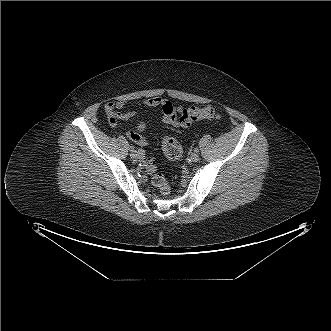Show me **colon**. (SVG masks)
Wrapping results in <instances>:
<instances>
[{
  "mask_svg": "<svg viewBox=\"0 0 331 331\" xmlns=\"http://www.w3.org/2000/svg\"><path fill=\"white\" fill-rule=\"evenodd\" d=\"M221 118V114L215 108L211 106H207L204 108L199 107H188L184 108L181 113V122L185 126H189L195 121L201 119H208V120H219ZM142 130V126L138 128V132ZM162 149L165 156L173 163H180L182 161V147L180 143L171 136H165L162 139ZM144 166L146 171L152 177V183L156 186L160 193L163 196H168L170 194V187L166 178L161 174L158 173L156 170V165L151 158H147L144 161Z\"/></svg>",
  "mask_w": 331,
  "mask_h": 331,
  "instance_id": "colon-1",
  "label": "colon"
}]
</instances>
